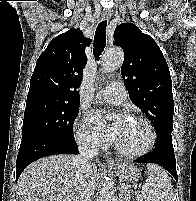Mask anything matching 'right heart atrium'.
<instances>
[{
    "instance_id": "right-heart-atrium-1",
    "label": "right heart atrium",
    "mask_w": 196,
    "mask_h": 201,
    "mask_svg": "<svg viewBox=\"0 0 196 201\" xmlns=\"http://www.w3.org/2000/svg\"><path fill=\"white\" fill-rule=\"evenodd\" d=\"M75 135L77 142L85 147L97 149L101 148L104 144L84 119L76 123Z\"/></svg>"
}]
</instances>
